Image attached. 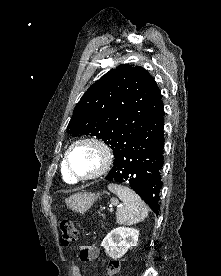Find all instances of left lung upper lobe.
Here are the masks:
<instances>
[{
	"instance_id": "obj_1",
	"label": "left lung upper lobe",
	"mask_w": 221,
	"mask_h": 276,
	"mask_svg": "<svg viewBox=\"0 0 221 276\" xmlns=\"http://www.w3.org/2000/svg\"><path fill=\"white\" fill-rule=\"evenodd\" d=\"M162 110L152 76L142 67L122 64L88 88L73 111L68 133L96 136L115 155Z\"/></svg>"
}]
</instances>
